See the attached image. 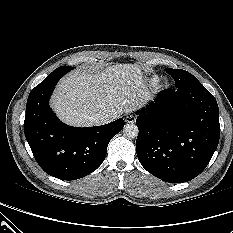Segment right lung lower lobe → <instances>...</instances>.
I'll return each mask as SVG.
<instances>
[{
  "instance_id": "1",
  "label": "right lung lower lobe",
  "mask_w": 233,
  "mask_h": 233,
  "mask_svg": "<svg viewBox=\"0 0 233 233\" xmlns=\"http://www.w3.org/2000/svg\"><path fill=\"white\" fill-rule=\"evenodd\" d=\"M67 69L51 73L29 94L24 121L27 142L39 166L62 180L82 178L106 157L111 138L121 131L122 118L106 125L77 128L62 123L49 107V98Z\"/></svg>"
}]
</instances>
